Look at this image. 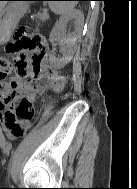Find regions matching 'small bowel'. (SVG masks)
Listing matches in <instances>:
<instances>
[{
  "mask_svg": "<svg viewBox=\"0 0 137 189\" xmlns=\"http://www.w3.org/2000/svg\"><path fill=\"white\" fill-rule=\"evenodd\" d=\"M47 66L42 64V70ZM52 69L51 77L46 78L41 75L39 77L40 82L37 84L30 83L22 77V74L18 73L6 86L4 94L0 96V122L3 124L9 138L16 139L21 137L31 126L32 114L25 118H17L16 116L17 107L22 100L26 99L34 105L47 89L58 90L63 87L64 77L59 75L56 69Z\"/></svg>",
  "mask_w": 137,
  "mask_h": 189,
  "instance_id": "c3829d8e",
  "label": "small bowel"
}]
</instances>
